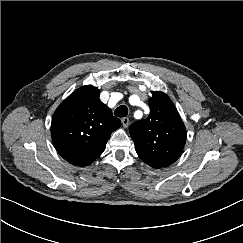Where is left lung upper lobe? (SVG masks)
<instances>
[{
    "instance_id": "5c2ea615",
    "label": "left lung upper lobe",
    "mask_w": 243,
    "mask_h": 243,
    "mask_svg": "<svg viewBox=\"0 0 243 243\" xmlns=\"http://www.w3.org/2000/svg\"><path fill=\"white\" fill-rule=\"evenodd\" d=\"M150 114L129 128L140 159L153 168L166 167L181 155L186 142V128L170 100L161 91H152Z\"/></svg>"
}]
</instances>
